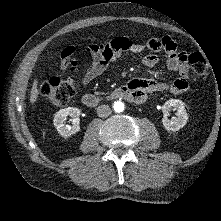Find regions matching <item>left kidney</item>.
<instances>
[{
  "label": "left kidney",
  "mask_w": 221,
  "mask_h": 221,
  "mask_svg": "<svg viewBox=\"0 0 221 221\" xmlns=\"http://www.w3.org/2000/svg\"><path fill=\"white\" fill-rule=\"evenodd\" d=\"M170 110L177 111V117H174L171 120L167 117ZM162 111L164 113L162 124L167 131H178L186 125L188 114L186 112L185 104L181 100L170 99L166 101L162 106Z\"/></svg>",
  "instance_id": "left-kidney-1"
}]
</instances>
